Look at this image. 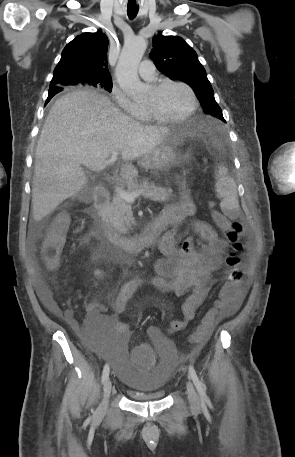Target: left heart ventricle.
Returning <instances> with one entry per match:
<instances>
[{"label": "left heart ventricle", "mask_w": 295, "mask_h": 457, "mask_svg": "<svg viewBox=\"0 0 295 457\" xmlns=\"http://www.w3.org/2000/svg\"><path fill=\"white\" fill-rule=\"evenodd\" d=\"M145 105L152 106L162 116L178 117L189 110L191 99L183 87L168 85L159 91L152 88Z\"/></svg>", "instance_id": "obj_1"}]
</instances>
